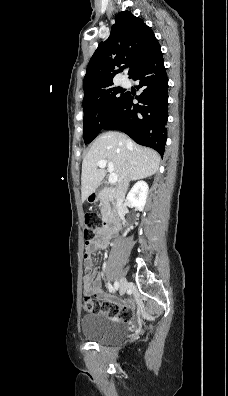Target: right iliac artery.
Returning <instances> with one entry per match:
<instances>
[{
    "label": "right iliac artery",
    "mask_w": 228,
    "mask_h": 396,
    "mask_svg": "<svg viewBox=\"0 0 228 396\" xmlns=\"http://www.w3.org/2000/svg\"><path fill=\"white\" fill-rule=\"evenodd\" d=\"M118 288H119V283L117 281L114 283V287H112L111 285L109 286L110 292L118 290Z\"/></svg>",
    "instance_id": "1"
}]
</instances>
